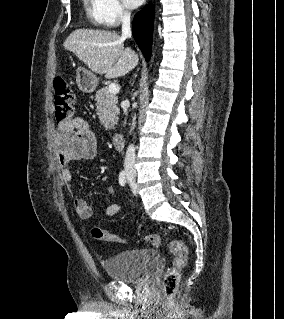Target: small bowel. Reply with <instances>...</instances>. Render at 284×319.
<instances>
[{"label": "small bowel", "instance_id": "c3829d8e", "mask_svg": "<svg viewBox=\"0 0 284 319\" xmlns=\"http://www.w3.org/2000/svg\"><path fill=\"white\" fill-rule=\"evenodd\" d=\"M55 147L62 180L69 187L73 185L71 162L93 159L98 151L94 133L89 124L80 117L58 124L55 131ZM109 192L114 194L112 186L109 187ZM74 209L83 220H89L93 216L92 208L84 199H75ZM119 210L118 204H111L106 209V215L113 217Z\"/></svg>", "mask_w": 284, "mask_h": 319}]
</instances>
